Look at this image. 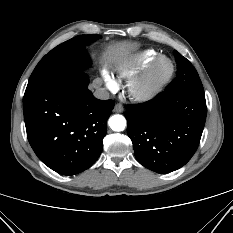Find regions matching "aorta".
<instances>
[{
    "instance_id": "obj_1",
    "label": "aorta",
    "mask_w": 233,
    "mask_h": 233,
    "mask_svg": "<svg viewBox=\"0 0 233 233\" xmlns=\"http://www.w3.org/2000/svg\"><path fill=\"white\" fill-rule=\"evenodd\" d=\"M108 124L113 131H123L126 127V119L124 116L116 114L109 118Z\"/></svg>"
}]
</instances>
